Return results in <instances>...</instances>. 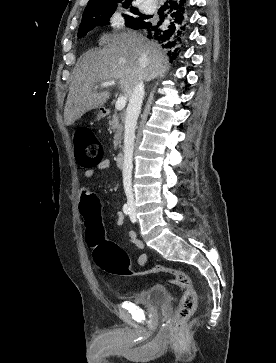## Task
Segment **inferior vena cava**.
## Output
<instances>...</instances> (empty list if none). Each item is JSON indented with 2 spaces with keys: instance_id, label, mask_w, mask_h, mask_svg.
<instances>
[{
  "instance_id": "inferior-vena-cava-1",
  "label": "inferior vena cava",
  "mask_w": 276,
  "mask_h": 363,
  "mask_svg": "<svg viewBox=\"0 0 276 363\" xmlns=\"http://www.w3.org/2000/svg\"><path fill=\"white\" fill-rule=\"evenodd\" d=\"M144 96V83L140 81L131 94L129 104L126 109L125 116V132H124V163H123V186L127 197V203L134 205V194L132 189V161L134 138L137 119L141 111Z\"/></svg>"
}]
</instances>
